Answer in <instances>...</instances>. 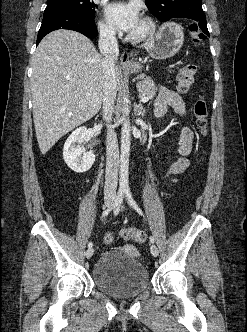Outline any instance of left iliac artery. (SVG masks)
<instances>
[{"instance_id":"1","label":"left iliac artery","mask_w":247,"mask_h":332,"mask_svg":"<svg viewBox=\"0 0 247 332\" xmlns=\"http://www.w3.org/2000/svg\"><path fill=\"white\" fill-rule=\"evenodd\" d=\"M125 196H126V199L128 201V204L135 209V211L140 214V215H143V212L142 210L140 209V207L138 206V204L136 203V201L134 200V198L132 197V194L130 192L129 189H126L125 191ZM150 242L151 243H154L155 240H154V237L153 236H150Z\"/></svg>"}]
</instances>
